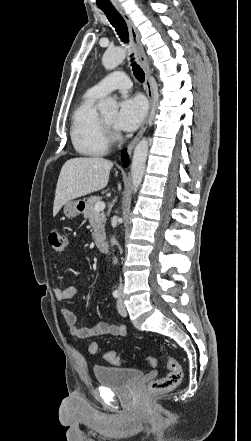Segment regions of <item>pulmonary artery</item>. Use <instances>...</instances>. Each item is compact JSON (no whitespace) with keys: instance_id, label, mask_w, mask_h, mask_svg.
<instances>
[{"instance_id":"1","label":"pulmonary artery","mask_w":251,"mask_h":441,"mask_svg":"<svg viewBox=\"0 0 251 441\" xmlns=\"http://www.w3.org/2000/svg\"><path fill=\"white\" fill-rule=\"evenodd\" d=\"M131 85L130 78L124 72L118 71L101 79L91 89L104 96L114 90H128L131 88Z\"/></svg>"}]
</instances>
